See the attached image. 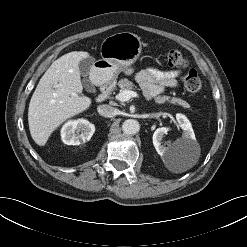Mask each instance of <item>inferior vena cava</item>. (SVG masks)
<instances>
[{
  "label": "inferior vena cava",
  "mask_w": 247,
  "mask_h": 247,
  "mask_svg": "<svg viewBox=\"0 0 247 247\" xmlns=\"http://www.w3.org/2000/svg\"><path fill=\"white\" fill-rule=\"evenodd\" d=\"M97 111L104 117H113L117 115V109L107 104L99 105Z\"/></svg>",
  "instance_id": "1"
}]
</instances>
